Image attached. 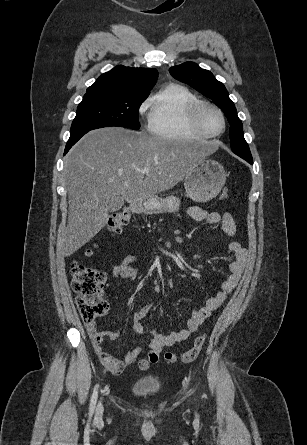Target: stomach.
Instances as JSON below:
<instances>
[{
  "label": "stomach",
  "instance_id": "0dacf381",
  "mask_svg": "<svg viewBox=\"0 0 307 445\" xmlns=\"http://www.w3.org/2000/svg\"><path fill=\"white\" fill-rule=\"evenodd\" d=\"M226 180V172L218 160H199L184 178L187 196L195 202H208L219 194ZM180 198L174 194L168 196H146L141 202L143 212L159 214V212H177Z\"/></svg>",
  "mask_w": 307,
  "mask_h": 445
}]
</instances>
